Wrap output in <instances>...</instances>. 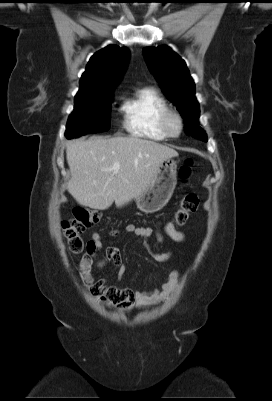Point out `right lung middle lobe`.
Returning <instances> with one entry per match:
<instances>
[{
  "label": "right lung middle lobe",
  "instance_id": "dd1d6c3e",
  "mask_svg": "<svg viewBox=\"0 0 272 401\" xmlns=\"http://www.w3.org/2000/svg\"><path fill=\"white\" fill-rule=\"evenodd\" d=\"M113 91L97 92L75 98L74 111L68 119L65 136L70 139L110 128V102Z\"/></svg>",
  "mask_w": 272,
  "mask_h": 401
}]
</instances>
